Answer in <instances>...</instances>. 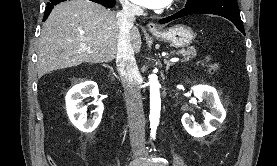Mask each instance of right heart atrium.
Instances as JSON below:
<instances>
[{"instance_id":"1","label":"right heart atrium","mask_w":277,"mask_h":166,"mask_svg":"<svg viewBox=\"0 0 277 166\" xmlns=\"http://www.w3.org/2000/svg\"><path fill=\"white\" fill-rule=\"evenodd\" d=\"M123 8L127 11H136L137 7L132 3V0H119Z\"/></svg>"}]
</instances>
